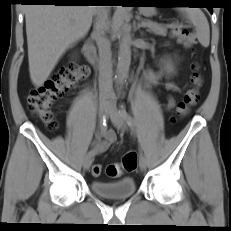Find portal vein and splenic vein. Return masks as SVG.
I'll use <instances>...</instances> for the list:
<instances>
[{"label": "portal vein and splenic vein", "instance_id": "portal-vein-and-splenic-vein-1", "mask_svg": "<svg viewBox=\"0 0 231 231\" xmlns=\"http://www.w3.org/2000/svg\"><path fill=\"white\" fill-rule=\"evenodd\" d=\"M141 25L142 26H147V23L146 22H142Z\"/></svg>", "mask_w": 231, "mask_h": 231}]
</instances>
